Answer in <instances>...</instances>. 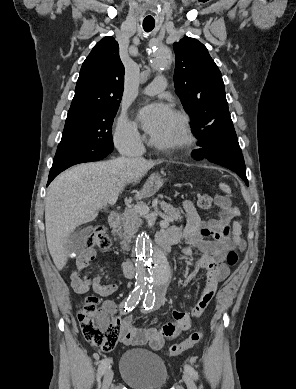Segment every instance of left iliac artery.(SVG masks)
<instances>
[{
	"mask_svg": "<svg viewBox=\"0 0 296 389\" xmlns=\"http://www.w3.org/2000/svg\"><path fill=\"white\" fill-rule=\"evenodd\" d=\"M148 298H149V293L147 291V293H145V299H144V308L146 310H148V306H149V302H148ZM185 371H187L195 380L198 379V373L197 371L190 365H185Z\"/></svg>",
	"mask_w": 296,
	"mask_h": 389,
	"instance_id": "left-iliac-artery-1",
	"label": "left iliac artery"
}]
</instances>
